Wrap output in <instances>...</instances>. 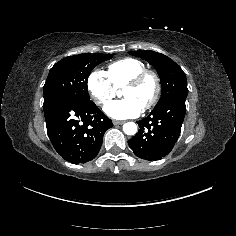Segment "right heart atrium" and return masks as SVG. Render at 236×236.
I'll list each match as a JSON object with an SVG mask.
<instances>
[{"mask_svg": "<svg viewBox=\"0 0 236 236\" xmlns=\"http://www.w3.org/2000/svg\"><path fill=\"white\" fill-rule=\"evenodd\" d=\"M87 87L94 103L100 107H105L118 95L117 87L104 71H92L87 80Z\"/></svg>", "mask_w": 236, "mask_h": 236, "instance_id": "1", "label": "right heart atrium"}]
</instances>
